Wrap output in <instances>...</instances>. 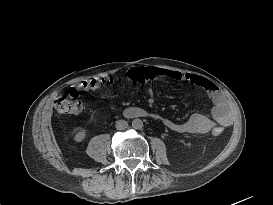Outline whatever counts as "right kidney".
<instances>
[{"label":"right kidney","instance_id":"right-kidney-1","mask_svg":"<svg viewBox=\"0 0 273 205\" xmlns=\"http://www.w3.org/2000/svg\"><path fill=\"white\" fill-rule=\"evenodd\" d=\"M85 137V130H81L75 137L76 141H82Z\"/></svg>","mask_w":273,"mask_h":205}]
</instances>
